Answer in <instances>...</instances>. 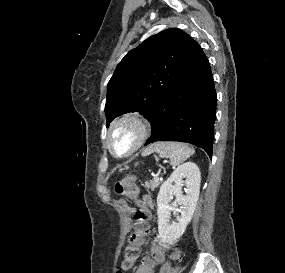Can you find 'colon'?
Here are the masks:
<instances>
[{
	"label": "colon",
	"mask_w": 285,
	"mask_h": 273,
	"mask_svg": "<svg viewBox=\"0 0 285 273\" xmlns=\"http://www.w3.org/2000/svg\"><path fill=\"white\" fill-rule=\"evenodd\" d=\"M115 193L132 200V206H135V228L128 238V243L123 251V258L117 273L129 271L140 254V246L145 239L147 229L149 228L148 216H150L149 205L139 198V189L133 176H127L122 181L115 184Z\"/></svg>",
	"instance_id": "1"
}]
</instances>
